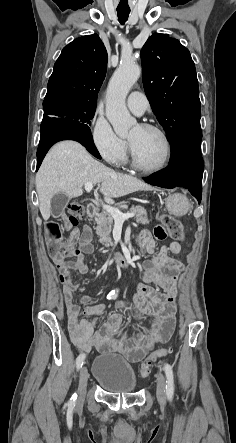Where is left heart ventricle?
I'll list each match as a JSON object with an SVG mask.
<instances>
[{
  "label": "left heart ventricle",
  "instance_id": "left-heart-ventricle-1",
  "mask_svg": "<svg viewBox=\"0 0 236 443\" xmlns=\"http://www.w3.org/2000/svg\"><path fill=\"white\" fill-rule=\"evenodd\" d=\"M139 162L148 168L162 164L166 156L163 138L155 131L146 130L138 125L128 136Z\"/></svg>",
  "mask_w": 236,
  "mask_h": 443
}]
</instances>
